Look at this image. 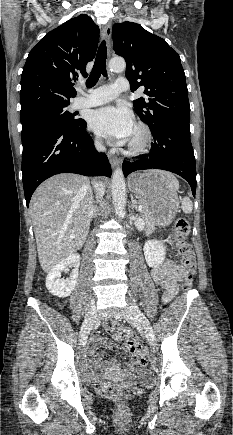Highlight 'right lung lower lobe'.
<instances>
[{
  "mask_svg": "<svg viewBox=\"0 0 233 435\" xmlns=\"http://www.w3.org/2000/svg\"><path fill=\"white\" fill-rule=\"evenodd\" d=\"M86 122L75 128L46 125L22 136V174L26 204L35 189L58 173L110 177L111 165L98 153L86 130Z\"/></svg>",
  "mask_w": 233,
  "mask_h": 435,
  "instance_id": "1",
  "label": "right lung lower lobe"
}]
</instances>
